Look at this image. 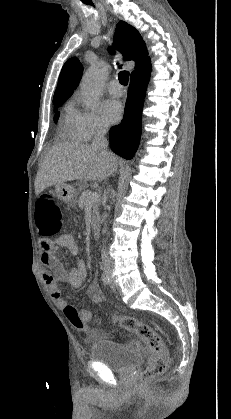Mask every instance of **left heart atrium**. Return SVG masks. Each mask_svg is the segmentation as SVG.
I'll return each instance as SVG.
<instances>
[{
  "mask_svg": "<svg viewBox=\"0 0 231 419\" xmlns=\"http://www.w3.org/2000/svg\"><path fill=\"white\" fill-rule=\"evenodd\" d=\"M103 116L109 123L118 122L123 114V107L117 100H109L103 104Z\"/></svg>",
  "mask_w": 231,
  "mask_h": 419,
  "instance_id": "obj_1",
  "label": "left heart atrium"
}]
</instances>
